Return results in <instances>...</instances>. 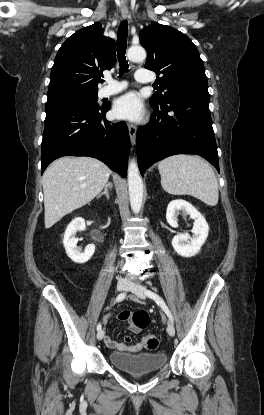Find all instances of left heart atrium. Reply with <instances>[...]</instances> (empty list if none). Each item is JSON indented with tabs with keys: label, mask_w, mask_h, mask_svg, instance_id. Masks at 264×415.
<instances>
[{
	"label": "left heart atrium",
	"mask_w": 264,
	"mask_h": 415,
	"mask_svg": "<svg viewBox=\"0 0 264 415\" xmlns=\"http://www.w3.org/2000/svg\"><path fill=\"white\" fill-rule=\"evenodd\" d=\"M113 112L119 119H139L143 114V106L139 95L130 92L121 96L116 100Z\"/></svg>",
	"instance_id": "left-heart-atrium-1"
}]
</instances>
